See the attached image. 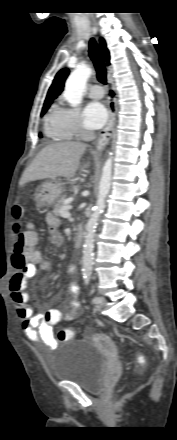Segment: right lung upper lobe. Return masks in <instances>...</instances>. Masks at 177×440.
<instances>
[{
	"instance_id": "1",
	"label": "right lung upper lobe",
	"mask_w": 177,
	"mask_h": 440,
	"mask_svg": "<svg viewBox=\"0 0 177 440\" xmlns=\"http://www.w3.org/2000/svg\"><path fill=\"white\" fill-rule=\"evenodd\" d=\"M100 45H101V52L105 60L107 61V64H109L110 55L109 51L106 47L105 40L103 38H100ZM69 74V70L67 68H64L60 70L53 80V83L51 87L49 88L47 97L45 99V103L52 102L55 98H57L58 95L63 91L64 82Z\"/></svg>"
}]
</instances>
